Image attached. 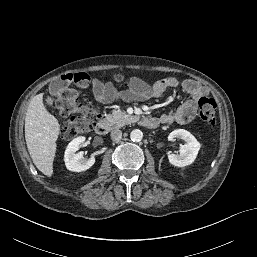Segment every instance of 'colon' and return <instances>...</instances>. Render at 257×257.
<instances>
[{
    "label": "colon",
    "instance_id": "5ec220e1",
    "mask_svg": "<svg viewBox=\"0 0 257 257\" xmlns=\"http://www.w3.org/2000/svg\"><path fill=\"white\" fill-rule=\"evenodd\" d=\"M114 81L117 84H123L124 77L116 75ZM89 83L90 76L87 73L78 72L60 75L51 85V93L57 98L56 104L60 115L69 117L60 129L63 139L70 140L80 134L89 132L101 119V113L95 106L79 102V89L86 88ZM198 105L200 118L210 130H213L215 128V100L203 96L199 99ZM76 113L80 115L75 116Z\"/></svg>",
    "mask_w": 257,
    "mask_h": 257
}]
</instances>
